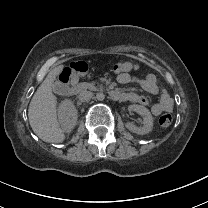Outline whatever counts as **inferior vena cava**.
Listing matches in <instances>:
<instances>
[{"label": "inferior vena cava", "instance_id": "inferior-vena-cava-1", "mask_svg": "<svg viewBox=\"0 0 208 208\" xmlns=\"http://www.w3.org/2000/svg\"><path fill=\"white\" fill-rule=\"evenodd\" d=\"M92 97H93V93L91 91H86V90L80 92L78 96L79 100L82 102L89 101Z\"/></svg>", "mask_w": 208, "mask_h": 208}]
</instances>
